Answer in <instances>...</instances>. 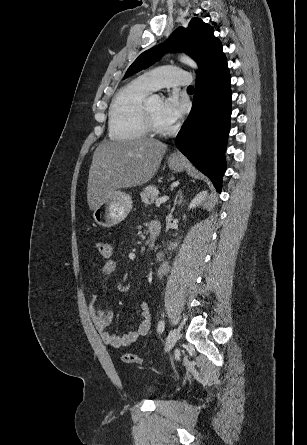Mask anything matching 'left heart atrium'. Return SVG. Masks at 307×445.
Masks as SVG:
<instances>
[{
    "label": "left heart atrium",
    "mask_w": 307,
    "mask_h": 445,
    "mask_svg": "<svg viewBox=\"0 0 307 445\" xmlns=\"http://www.w3.org/2000/svg\"><path fill=\"white\" fill-rule=\"evenodd\" d=\"M184 104L175 91L169 92L163 101L162 116L169 123L174 124L183 114Z\"/></svg>",
    "instance_id": "obj_1"
}]
</instances>
